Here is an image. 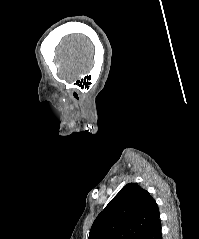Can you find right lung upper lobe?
Masks as SVG:
<instances>
[{
  "instance_id": "right-lung-upper-lobe-1",
  "label": "right lung upper lobe",
  "mask_w": 199,
  "mask_h": 239,
  "mask_svg": "<svg viewBox=\"0 0 199 239\" xmlns=\"http://www.w3.org/2000/svg\"><path fill=\"white\" fill-rule=\"evenodd\" d=\"M160 214L149 192L129 183L95 219L88 239H140Z\"/></svg>"
}]
</instances>
